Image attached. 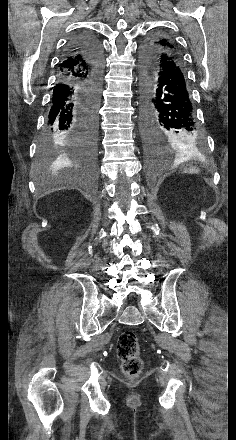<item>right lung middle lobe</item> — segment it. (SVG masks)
Instances as JSON below:
<instances>
[{
  "mask_svg": "<svg viewBox=\"0 0 236 440\" xmlns=\"http://www.w3.org/2000/svg\"><path fill=\"white\" fill-rule=\"evenodd\" d=\"M100 92H101V90L98 89L97 86H94V85L86 86V94L96 109L98 108V104H99V100H100ZM92 116H93L92 122H93V125L95 126V124L97 122V111L96 110H94L92 112ZM92 134H93V131H89V133L86 134L88 141L92 140V138H93ZM71 143L72 142L65 143V141H62L59 138H55V137H46L41 145V148H40L39 160L43 163H48V162L52 161L54 159V157L56 156L55 151H54L56 147L62 146L63 144L72 145ZM94 158H95V156L90 159V161H89L90 164L94 163Z\"/></svg>",
  "mask_w": 236,
  "mask_h": 440,
  "instance_id": "obj_1",
  "label": "right lung middle lobe"
}]
</instances>
